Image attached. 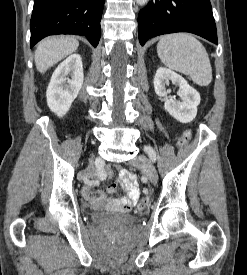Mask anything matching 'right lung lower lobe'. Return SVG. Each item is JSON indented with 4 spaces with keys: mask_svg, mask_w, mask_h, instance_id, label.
Returning <instances> with one entry per match:
<instances>
[{
    "mask_svg": "<svg viewBox=\"0 0 247 275\" xmlns=\"http://www.w3.org/2000/svg\"><path fill=\"white\" fill-rule=\"evenodd\" d=\"M103 7L104 0H34L31 47L48 35L57 34L83 35L96 47Z\"/></svg>",
    "mask_w": 247,
    "mask_h": 275,
    "instance_id": "98d812e1",
    "label": "right lung lower lobe"
}]
</instances>
